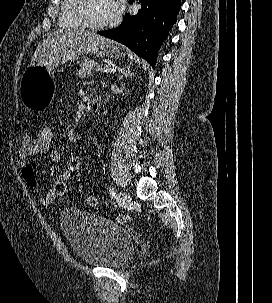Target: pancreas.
I'll return each mask as SVG.
<instances>
[{
	"label": "pancreas",
	"instance_id": "1",
	"mask_svg": "<svg viewBox=\"0 0 272 303\" xmlns=\"http://www.w3.org/2000/svg\"><path fill=\"white\" fill-rule=\"evenodd\" d=\"M98 68H100V65L97 62L94 60H86L80 65L77 75L84 78L86 76H90L91 72Z\"/></svg>",
	"mask_w": 272,
	"mask_h": 303
}]
</instances>
